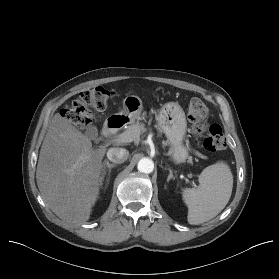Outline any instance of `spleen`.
I'll use <instances>...</instances> for the list:
<instances>
[{
    "mask_svg": "<svg viewBox=\"0 0 279 279\" xmlns=\"http://www.w3.org/2000/svg\"><path fill=\"white\" fill-rule=\"evenodd\" d=\"M232 188L233 175L226 162L206 167L199 175V187L182 192L188 207V223L199 225L216 217L229 202Z\"/></svg>",
    "mask_w": 279,
    "mask_h": 279,
    "instance_id": "obj_1",
    "label": "spleen"
}]
</instances>
